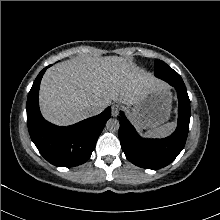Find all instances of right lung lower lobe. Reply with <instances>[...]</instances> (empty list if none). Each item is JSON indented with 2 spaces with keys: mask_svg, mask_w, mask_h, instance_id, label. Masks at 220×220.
<instances>
[{
  "mask_svg": "<svg viewBox=\"0 0 220 220\" xmlns=\"http://www.w3.org/2000/svg\"><path fill=\"white\" fill-rule=\"evenodd\" d=\"M47 68L39 73L28 94L26 110L29 134L41 155L51 164L59 167L78 166L90 158L105 123L111 117V108L68 127L47 122L38 105L40 82Z\"/></svg>",
  "mask_w": 220,
  "mask_h": 220,
  "instance_id": "obj_1",
  "label": "right lung lower lobe"
}]
</instances>
